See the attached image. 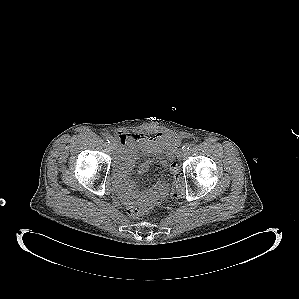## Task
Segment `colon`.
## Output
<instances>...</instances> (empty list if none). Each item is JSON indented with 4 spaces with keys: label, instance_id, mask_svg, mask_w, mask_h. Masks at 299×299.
Listing matches in <instances>:
<instances>
[{
    "label": "colon",
    "instance_id": "obj_1",
    "mask_svg": "<svg viewBox=\"0 0 299 299\" xmlns=\"http://www.w3.org/2000/svg\"><path fill=\"white\" fill-rule=\"evenodd\" d=\"M170 172L173 174L174 183L171 189V197L176 199L181 195L182 192V180L180 176L179 167L176 163L170 164ZM128 214L133 218H139L145 214V210L143 207L139 205H130L127 208Z\"/></svg>",
    "mask_w": 299,
    "mask_h": 299
}]
</instances>
